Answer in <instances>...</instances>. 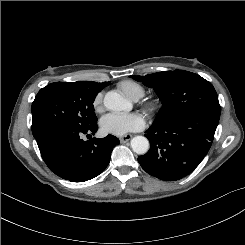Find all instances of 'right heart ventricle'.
Here are the masks:
<instances>
[{
  "mask_svg": "<svg viewBox=\"0 0 245 245\" xmlns=\"http://www.w3.org/2000/svg\"><path fill=\"white\" fill-rule=\"evenodd\" d=\"M118 88L130 99L137 100L144 94V89L138 83L131 80H123L118 83Z\"/></svg>",
  "mask_w": 245,
  "mask_h": 245,
  "instance_id": "right-heart-ventricle-1",
  "label": "right heart ventricle"
}]
</instances>
